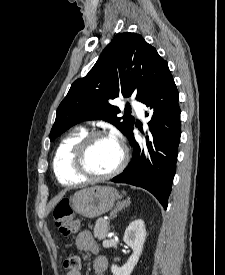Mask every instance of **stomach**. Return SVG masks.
<instances>
[{"label":"stomach","instance_id":"obj_1","mask_svg":"<svg viewBox=\"0 0 225 275\" xmlns=\"http://www.w3.org/2000/svg\"><path fill=\"white\" fill-rule=\"evenodd\" d=\"M118 197L112 187L93 186L76 192L71 207L85 218H96L110 211Z\"/></svg>","mask_w":225,"mask_h":275}]
</instances>
